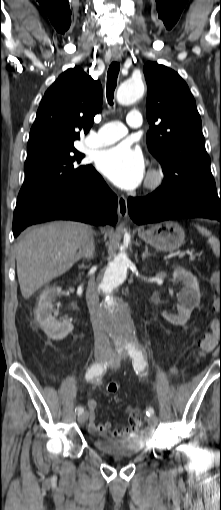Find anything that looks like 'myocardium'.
<instances>
[{
  "instance_id": "obj_1",
  "label": "myocardium",
  "mask_w": 221,
  "mask_h": 510,
  "mask_svg": "<svg viewBox=\"0 0 221 510\" xmlns=\"http://www.w3.org/2000/svg\"><path fill=\"white\" fill-rule=\"evenodd\" d=\"M164 179L165 174L161 168H152L147 173L145 188L149 191H155L162 186Z\"/></svg>"
}]
</instances>
